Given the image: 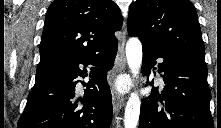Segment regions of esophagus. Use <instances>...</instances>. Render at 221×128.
<instances>
[{
    "mask_svg": "<svg viewBox=\"0 0 221 128\" xmlns=\"http://www.w3.org/2000/svg\"><path fill=\"white\" fill-rule=\"evenodd\" d=\"M126 35L125 32H122V37L120 39V43L118 46V52L116 56V71L122 72L126 68V58H125V45ZM112 102H113V110L118 112L124 105V97L120 95L116 89L112 88Z\"/></svg>",
    "mask_w": 221,
    "mask_h": 128,
    "instance_id": "1",
    "label": "esophagus"
}]
</instances>
